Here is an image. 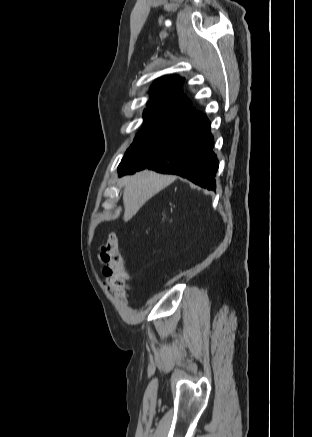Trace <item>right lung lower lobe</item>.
<instances>
[{"instance_id": "obj_1", "label": "right lung lower lobe", "mask_w": 312, "mask_h": 437, "mask_svg": "<svg viewBox=\"0 0 312 437\" xmlns=\"http://www.w3.org/2000/svg\"><path fill=\"white\" fill-rule=\"evenodd\" d=\"M214 139L205 114L185 132L159 147L126 154L119 165V175L145 168L176 174L208 190L216 189L218 162L213 152Z\"/></svg>"}]
</instances>
